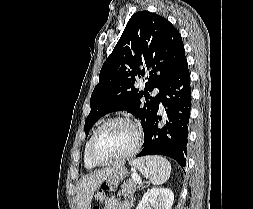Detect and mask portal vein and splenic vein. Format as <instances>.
I'll return each instance as SVG.
<instances>
[{
	"label": "portal vein and splenic vein",
	"mask_w": 253,
	"mask_h": 209,
	"mask_svg": "<svg viewBox=\"0 0 253 209\" xmlns=\"http://www.w3.org/2000/svg\"><path fill=\"white\" fill-rule=\"evenodd\" d=\"M132 179H133V181H135L137 183H141V178L137 174H132Z\"/></svg>",
	"instance_id": "obj_1"
}]
</instances>
